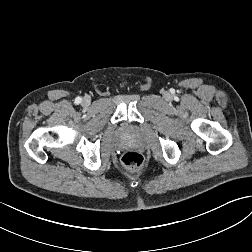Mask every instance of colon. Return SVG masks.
Segmentation results:
<instances>
[{"mask_svg":"<svg viewBox=\"0 0 252 252\" xmlns=\"http://www.w3.org/2000/svg\"><path fill=\"white\" fill-rule=\"evenodd\" d=\"M144 162L143 156L135 151H128L121 157V163L130 170H137L142 167Z\"/></svg>","mask_w":252,"mask_h":252,"instance_id":"obj_1","label":"colon"}]
</instances>
